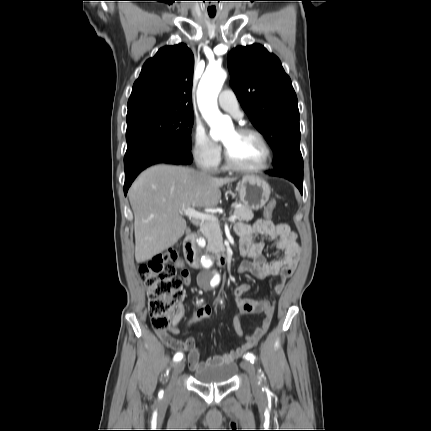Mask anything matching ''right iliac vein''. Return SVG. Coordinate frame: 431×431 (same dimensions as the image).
<instances>
[{
    "label": "right iliac vein",
    "instance_id": "1",
    "mask_svg": "<svg viewBox=\"0 0 431 431\" xmlns=\"http://www.w3.org/2000/svg\"><path fill=\"white\" fill-rule=\"evenodd\" d=\"M184 367H185V364L183 361H179L174 365V370H173L174 379L184 370Z\"/></svg>",
    "mask_w": 431,
    "mask_h": 431
}]
</instances>
